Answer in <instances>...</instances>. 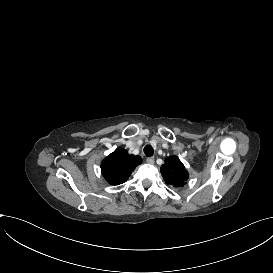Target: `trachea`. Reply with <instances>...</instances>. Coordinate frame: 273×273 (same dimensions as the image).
<instances>
[{
	"mask_svg": "<svg viewBox=\"0 0 273 273\" xmlns=\"http://www.w3.org/2000/svg\"><path fill=\"white\" fill-rule=\"evenodd\" d=\"M144 153L147 157H151L153 155V148L150 145H146L144 147Z\"/></svg>",
	"mask_w": 273,
	"mask_h": 273,
	"instance_id": "3493384b",
	"label": "trachea"
}]
</instances>
